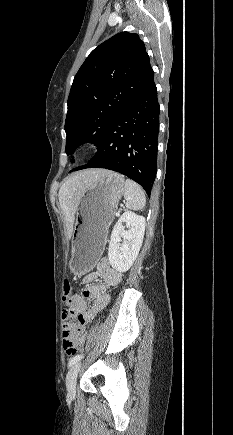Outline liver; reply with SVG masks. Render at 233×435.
<instances>
[{
  "instance_id": "liver-1",
  "label": "liver",
  "mask_w": 233,
  "mask_h": 435,
  "mask_svg": "<svg viewBox=\"0 0 233 435\" xmlns=\"http://www.w3.org/2000/svg\"><path fill=\"white\" fill-rule=\"evenodd\" d=\"M108 172L105 169L82 170L71 174L60 187L58 196L66 223L67 239L72 236L75 214L85 191Z\"/></svg>"
}]
</instances>
